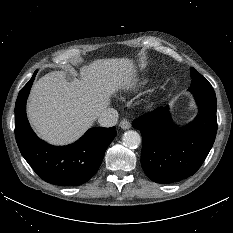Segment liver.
<instances>
[{"instance_id":"1","label":"liver","mask_w":233,"mask_h":233,"mask_svg":"<svg viewBox=\"0 0 233 233\" xmlns=\"http://www.w3.org/2000/svg\"><path fill=\"white\" fill-rule=\"evenodd\" d=\"M80 76L67 81L63 71H53L31 89L29 121L38 136L51 144L79 139L107 109L112 95L133 86L136 71L127 58L97 59L83 66Z\"/></svg>"}]
</instances>
